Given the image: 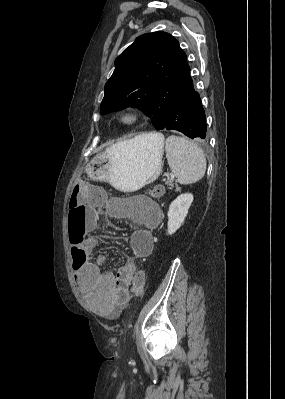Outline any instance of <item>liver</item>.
I'll use <instances>...</instances> for the list:
<instances>
[{
    "mask_svg": "<svg viewBox=\"0 0 285 399\" xmlns=\"http://www.w3.org/2000/svg\"><path fill=\"white\" fill-rule=\"evenodd\" d=\"M150 134H153V133H150ZM146 135H148V134H143V135H140V136H146Z\"/></svg>",
    "mask_w": 285,
    "mask_h": 399,
    "instance_id": "liver-1",
    "label": "liver"
}]
</instances>
